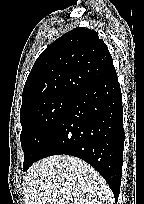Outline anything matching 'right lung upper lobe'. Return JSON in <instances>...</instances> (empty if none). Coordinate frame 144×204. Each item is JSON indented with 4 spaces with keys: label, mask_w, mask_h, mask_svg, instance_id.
<instances>
[{
    "label": "right lung upper lobe",
    "mask_w": 144,
    "mask_h": 204,
    "mask_svg": "<svg viewBox=\"0 0 144 204\" xmlns=\"http://www.w3.org/2000/svg\"><path fill=\"white\" fill-rule=\"evenodd\" d=\"M114 71L112 57L98 33L75 28L37 58L23 89L20 113L60 93L76 95Z\"/></svg>",
    "instance_id": "cb5924a9"
}]
</instances>
